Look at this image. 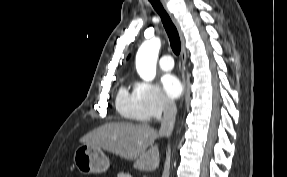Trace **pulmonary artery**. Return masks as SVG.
<instances>
[{
  "label": "pulmonary artery",
  "mask_w": 287,
  "mask_h": 177,
  "mask_svg": "<svg viewBox=\"0 0 287 177\" xmlns=\"http://www.w3.org/2000/svg\"><path fill=\"white\" fill-rule=\"evenodd\" d=\"M173 66H174V63H173L172 56L169 54L163 55L161 60H160L161 69H163L165 71H169L173 68Z\"/></svg>",
  "instance_id": "1"
}]
</instances>
